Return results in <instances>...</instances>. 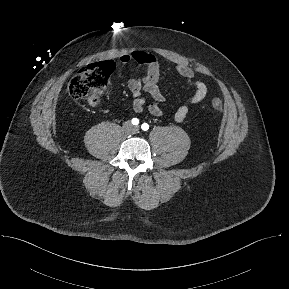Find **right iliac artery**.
<instances>
[{
  "label": "right iliac artery",
  "mask_w": 289,
  "mask_h": 289,
  "mask_svg": "<svg viewBox=\"0 0 289 289\" xmlns=\"http://www.w3.org/2000/svg\"><path fill=\"white\" fill-rule=\"evenodd\" d=\"M131 122H132L133 125H138V124H139V119L133 118V119L131 120Z\"/></svg>",
  "instance_id": "1"
}]
</instances>
